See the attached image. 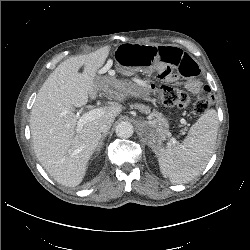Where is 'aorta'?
<instances>
[{
  "instance_id": "1",
  "label": "aorta",
  "mask_w": 250,
  "mask_h": 250,
  "mask_svg": "<svg viewBox=\"0 0 250 250\" xmlns=\"http://www.w3.org/2000/svg\"><path fill=\"white\" fill-rule=\"evenodd\" d=\"M133 132V125L130 122L123 121L116 126V135L120 138H129Z\"/></svg>"
}]
</instances>
